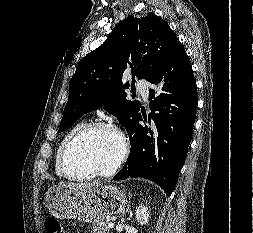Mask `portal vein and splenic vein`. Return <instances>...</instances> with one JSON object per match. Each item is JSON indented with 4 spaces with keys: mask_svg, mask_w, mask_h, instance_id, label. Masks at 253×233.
<instances>
[{
    "mask_svg": "<svg viewBox=\"0 0 253 233\" xmlns=\"http://www.w3.org/2000/svg\"><path fill=\"white\" fill-rule=\"evenodd\" d=\"M108 227H109V228H113V227H114V223H109V224H108Z\"/></svg>",
    "mask_w": 253,
    "mask_h": 233,
    "instance_id": "portal-vein-and-splenic-vein-1",
    "label": "portal vein and splenic vein"
}]
</instances>
